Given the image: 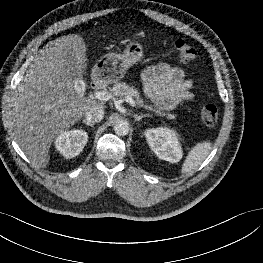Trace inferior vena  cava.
<instances>
[{
  "label": "inferior vena cava",
  "instance_id": "1",
  "mask_svg": "<svg viewBox=\"0 0 263 263\" xmlns=\"http://www.w3.org/2000/svg\"><path fill=\"white\" fill-rule=\"evenodd\" d=\"M103 117H104V109L103 107H100L98 105H94L90 107L85 112L86 121L89 123L100 122L103 119Z\"/></svg>",
  "mask_w": 263,
  "mask_h": 263
}]
</instances>
